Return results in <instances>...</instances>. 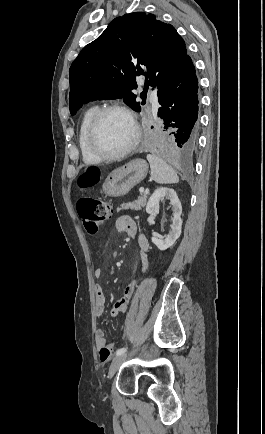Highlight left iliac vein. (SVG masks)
I'll use <instances>...</instances> for the list:
<instances>
[{"label": "left iliac vein", "instance_id": "4c4485c4", "mask_svg": "<svg viewBox=\"0 0 265 434\" xmlns=\"http://www.w3.org/2000/svg\"><path fill=\"white\" fill-rule=\"evenodd\" d=\"M128 358L127 354H121L117 357H115L110 365L109 368V378H112L113 375L117 372L121 364L126 361Z\"/></svg>", "mask_w": 265, "mask_h": 434}]
</instances>
